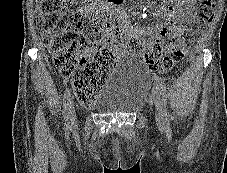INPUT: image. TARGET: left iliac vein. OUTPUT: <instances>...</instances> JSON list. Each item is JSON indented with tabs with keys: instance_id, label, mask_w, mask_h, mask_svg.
Masks as SVG:
<instances>
[{
	"instance_id": "1",
	"label": "left iliac vein",
	"mask_w": 227,
	"mask_h": 173,
	"mask_svg": "<svg viewBox=\"0 0 227 173\" xmlns=\"http://www.w3.org/2000/svg\"><path fill=\"white\" fill-rule=\"evenodd\" d=\"M152 97H153V100L155 103L156 122L158 124L162 125L165 120V112H164V108H163V102L161 100L158 90L155 87H153V90H152Z\"/></svg>"
}]
</instances>
